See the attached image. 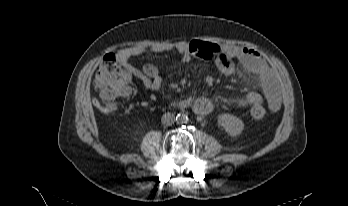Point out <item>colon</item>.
I'll return each instance as SVG.
<instances>
[{"instance_id":"obj_1","label":"colon","mask_w":348,"mask_h":206,"mask_svg":"<svg viewBox=\"0 0 348 206\" xmlns=\"http://www.w3.org/2000/svg\"><path fill=\"white\" fill-rule=\"evenodd\" d=\"M147 72L152 74L154 70L148 68ZM131 80L130 68L116 54L110 53L103 57L95 84L107 113L114 112L119 97L128 95L131 90ZM250 115L254 120L260 121L265 118L266 111L261 105H254L250 110Z\"/></svg>"}]
</instances>
